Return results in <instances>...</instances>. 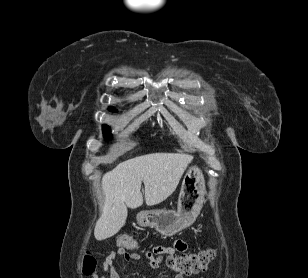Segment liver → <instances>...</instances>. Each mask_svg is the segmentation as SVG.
Segmentation results:
<instances>
[{"mask_svg": "<svg viewBox=\"0 0 308 278\" xmlns=\"http://www.w3.org/2000/svg\"><path fill=\"white\" fill-rule=\"evenodd\" d=\"M191 161L188 154L152 153L124 161L106 173L102 178L104 206L94 229L96 240L118 233L126 223L127 207L134 209L143 204L142 182L146 204L157 205L176 190Z\"/></svg>", "mask_w": 308, "mask_h": 278, "instance_id": "liver-1", "label": "liver"}]
</instances>
